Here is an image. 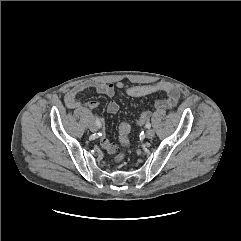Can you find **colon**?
<instances>
[{"instance_id":"colon-1","label":"colon","mask_w":241,"mask_h":241,"mask_svg":"<svg viewBox=\"0 0 241 241\" xmlns=\"http://www.w3.org/2000/svg\"><path fill=\"white\" fill-rule=\"evenodd\" d=\"M130 124L128 122H122L119 126V140L122 146L127 148L129 146ZM125 157L124 152L116 154L115 161L121 162Z\"/></svg>"}]
</instances>
